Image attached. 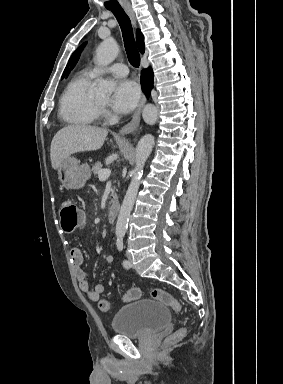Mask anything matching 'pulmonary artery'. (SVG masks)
I'll return each instance as SVG.
<instances>
[{
	"mask_svg": "<svg viewBox=\"0 0 283 384\" xmlns=\"http://www.w3.org/2000/svg\"><path fill=\"white\" fill-rule=\"evenodd\" d=\"M88 74L92 78H98L105 74H112L116 77H124L128 74V68L121 63H112L109 65L95 66L89 70Z\"/></svg>",
	"mask_w": 283,
	"mask_h": 384,
	"instance_id": "e3ab8cb5",
	"label": "pulmonary artery"
}]
</instances>
